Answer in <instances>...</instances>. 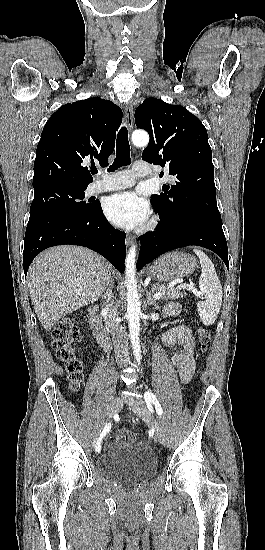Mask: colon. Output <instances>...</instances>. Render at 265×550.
<instances>
[{
    "label": "colon",
    "instance_id": "obj_1",
    "mask_svg": "<svg viewBox=\"0 0 265 550\" xmlns=\"http://www.w3.org/2000/svg\"><path fill=\"white\" fill-rule=\"evenodd\" d=\"M78 335V328L73 318L60 320L53 332V348L57 358L66 363L71 388L78 390L83 379L82 364L76 358L73 342ZM198 338L202 350H206L210 343V334L204 328L198 329ZM135 434L127 429H120L114 434V439L119 443H132L135 441Z\"/></svg>",
    "mask_w": 265,
    "mask_h": 550
}]
</instances>
